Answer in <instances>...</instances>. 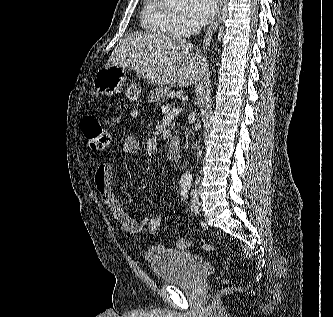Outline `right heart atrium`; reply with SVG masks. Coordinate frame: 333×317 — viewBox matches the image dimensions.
<instances>
[{
  "mask_svg": "<svg viewBox=\"0 0 333 317\" xmlns=\"http://www.w3.org/2000/svg\"><path fill=\"white\" fill-rule=\"evenodd\" d=\"M174 29L178 35H187L194 30V27L185 17L181 15H175Z\"/></svg>",
  "mask_w": 333,
  "mask_h": 317,
  "instance_id": "1",
  "label": "right heart atrium"
}]
</instances>
